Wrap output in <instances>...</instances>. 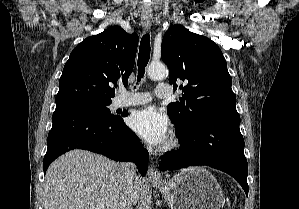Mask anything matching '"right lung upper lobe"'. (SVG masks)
<instances>
[{"instance_id": "cb5924a9", "label": "right lung upper lobe", "mask_w": 299, "mask_h": 209, "mask_svg": "<svg viewBox=\"0 0 299 209\" xmlns=\"http://www.w3.org/2000/svg\"><path fill=\"white\" fill-rule=\"evenodd\" d=\"M138 35L119 26L88 37L71 52L59 80L56 106L74 102H112L118 80L128 84Z\"/></svg>"}]
</instances>
